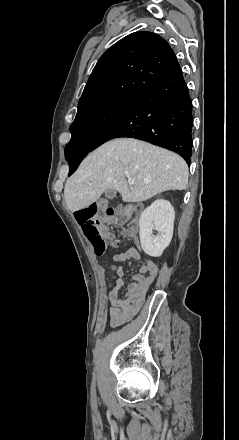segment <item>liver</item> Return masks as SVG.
<instances>
[{"label": "liver", "mask_w": 239, "mask_h": 440, "mask_svg": "<svg viewBox=\"0 0 239 440\" xmlns=\"http://www.w3.org/2000/svg\"><path fill=\"white\" fill-rule=\"evenodd\" d=\"M127 178L134 180L129 188ZM188 166L178 154L140 142L116 138L91 152L64 188L70 212L88 208L105 190H117L123 202H144L165 190H186Z\"/></svg>", "instance_id": "6515ba94"}]
</instances>
